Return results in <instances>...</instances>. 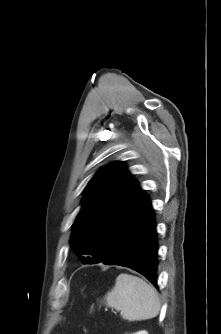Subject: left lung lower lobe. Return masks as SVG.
Wrapping results in <instances>:
<instances>
[{
	"instance_id": "0a47b994",
	"label": "left lung lower lobe",
	"mask_w": 221,
	"mask_h": 334,
	"mask_svg": "<svg viewBox=\"0 0 221 334\" xmlns=\"http://www.w3.org/2000/svg\"><path fill=\"white\" fill-rule=\"evenodd\" d=\"M156 223L148 196L138 188L100 238L95 260L131 268L145 276L157 289Z\"/></svg>"
}]
</instances>
